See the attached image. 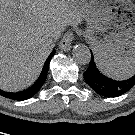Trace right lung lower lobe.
Masks as SVG:
<instances>
[{
	"instance_id": "98d812e1",
	"label": "right lung lower lobe",
	"mask_w": 135,
	"mask_h": 135,
	"mask_svg": "<svg viewBox=\"0 0 135 135\" xmlns=\"http://www.w3.org/2000/svg\"><path fill=\"white\" fill-rule=\"evenodd\" d=\"M54 54H55V49L51 52V54L45 61V64L43 66L40 76L31 87L23 91H19V92H6V91L0 90V95L9 99L18 100V101L27 100L33 97L40 90V88L43 86V84L46 81L49 63Z\"/></svg>"
}]
</instances>
